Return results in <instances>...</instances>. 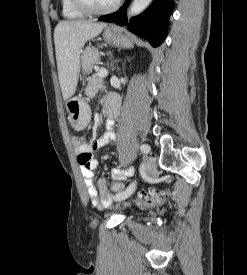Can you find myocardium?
Returning a JSON list of instances; mask_svg holds the SVG:
<instances>
[{
    "label": "myocardium",
    "mask_w": 247,
    "mask_h": 275,
    "mask_svg": "<svg viewBox=\"0 0 247 275\" xmlns=\"http://www.w3.org/2000/svg\"><path fill=\"white\" fill-rule=\"evenodd\" d=\"M120 2L121 0H116L114 4H112L110 7L102 8V9H94L89 7L83 0H71V3L75 9H77L84 15H91V16L106 15V14L112 13L119 7Z\"/></svg>",
    "instance_id": "f54148a6"
}]
</instances>
